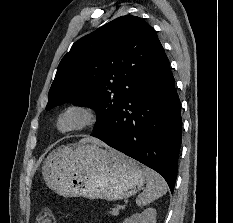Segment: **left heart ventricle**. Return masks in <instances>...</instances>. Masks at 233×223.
<instances>
[{
  "label": "left heart ventricle",
  "instance_id": "left-heart-ventricle-1",
  "mask_svg": "<svg viewBox=\"0 0 233 223\" xmlns=\"http://www.w3.org/2000/svg\"><path fill=\"white\" fill-rule=\"evenodd\" d=\"M87 120V116L83 112L70 110L60 117L57 129L61 132L71 131L85 125Z\"/></svg>",
  "mask_w": 233,
  "mask_h": 223
}]
</instances>
